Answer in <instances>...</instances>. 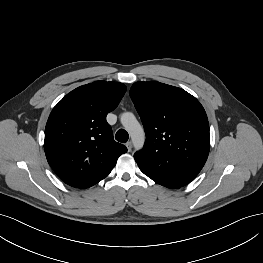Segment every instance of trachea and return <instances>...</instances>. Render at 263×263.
Wrapping results in <instances>:
<instances>
[{"label":"trachea","mask_w":263,"mask_h":263,"mask_svg":"<svg viewBox=\"0 0 263 263\" xmlns=\"http://www.w3.org/2000/svg\"><path fill=\"white\" fill-rule=\"evenodd\" d=\"M115 139L121 143H126L129 139V134L126 130L124 129H119L116 132Z\"/></svg>","instance_id":"3493384b"}]
</instances>
